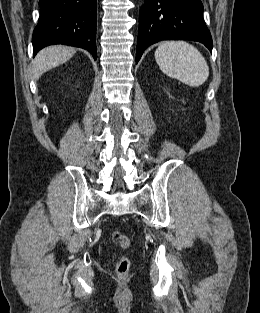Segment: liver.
<instances>
[{
  "mask_svg": "<svg viewBox=\"0 0 260 313\" xmlns=\"http://www.w3.org/2000/svg\"><path fill=\"white\" fill-rule=\"evenodd\" d=\"M76 50L68 46H49L42 49L32 61L31 75L34 80L41 77L46 71L67 62Z\"/></svg>",
  "mask_w": 260,
  "mask_h": 313,
  "instance_id": "liver-1",
  "label": "liver"
}]
</instances>
